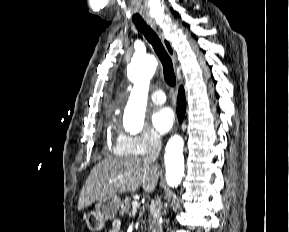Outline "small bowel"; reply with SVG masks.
Here are the masks:
<instances>
[{
  "mask_svg": "<svg viewBox=\"0 0 289 232\" xmlns=\"http://www.w3.org/2000/svg\"><path fill=\"white\" fill-rule=\"evenodd\" d=\"M108 232H120V224L118 222H114L112 228Z\"/></svg>",
  "mask_w": 289,
  "mask_h": 232,
  "instance_id": "c3829d8e",
  "label": "small bowel"
}]
</instances>
